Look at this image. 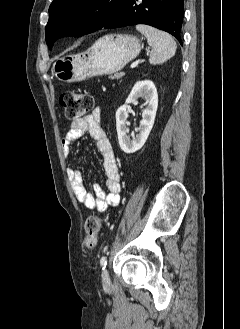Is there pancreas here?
<instances>
[{"instance_id":"cf45deb5","label":"pancreas","mask_w":240,"mask_h":329,"mask_svg":"<svg viewBox=\"0 0 240 329\" xmlns=\"http://www.w3.org/2000/svg\"><path fill=\"white\" fill-rule=\"evenodd\" d=\"M124 74L123 73H115L111 78L112 79H120Z\"/></svg>"}]
</instances>
